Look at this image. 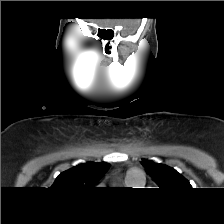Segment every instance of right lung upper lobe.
Instances as JSON below:
<instances>
[{
    "label": "right lung upper lobe",
    "instance_id": "1",
    "mask_svg": "<svg viewBox=\"0 0 224 224\" xmlns=\"http://www.w3.org/2000/svg\"><path fill=\"white\" fill-rule=\"evenodd\" d=\"M106 162H88L66 170L56 178L52 187L62 190L92 189L107 172Z\"/></svg>",
    "mask_w": 224,
    "mask_h": 224
}]
</instances>
